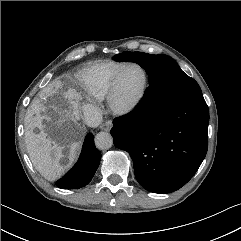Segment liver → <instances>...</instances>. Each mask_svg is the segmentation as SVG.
<instances>
[{
	"label": "liver",
	"mask_w": 241,
	"mask_h": 241,
	"mask_svg": "<svg viewBox=\"0 0 241 241\" xmlns=\"http://www.w3.org/2000/svg\"><path fill=\"white\" fill-rule=\"evenodd\" d=\"M60 87V82H54L40 98L34 99L25 122L28 155L39 173L49 181L60 177L72 164L84 136V130L78 123L79 94L75 89L69 88L63 92L60 104H55L54 101L48 103L44 99L45 93L51 96L57 93ZM47 124L56 128L63 145L50 138ZM35 128L39 129V133L34 132ZM65 149H68L67 155L63 153ZM64 157H67V162L62 163Z\"/></svg>",
	"instance_id": "1"
}]
</instances>
